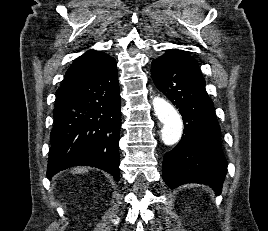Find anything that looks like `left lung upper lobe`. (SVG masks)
I'll list each match as a JSON object with an SVG mask.
<instances>
[{"label":"left lung upper lobe","instance_id":"left-lung-upper-lobe-1","mask_svg":"<svg viewBox=\"0 0 268 231\" xmlns=\"http://www.w3.org/2000/svg\"><path fill=\"white\" fill-rule=\"evenodd\" d=\"M164 58H168L172 61H175L176 63L190 69L191 71H194L200 75H202L198 62L196 59L188 55L186 52L178 49H171L168 50L163 56Z\"/></svg>","mask_w":268,"mask_h":231}]
</instances>
